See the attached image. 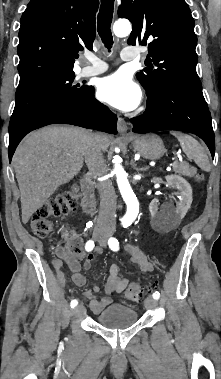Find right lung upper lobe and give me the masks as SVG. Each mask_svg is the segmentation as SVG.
Returning a JSON list of instances; mask_svg holds the SVG:
<instances>
[{"mask_svg":"<svg viewBox=\"0 0 221 379\" xmlns=\"http://www.w3.org/2000/svg\"><path fill=\"white\" fill-rule=\"evenodd\" d=\"M98 5V0H31L20 21V81L73 70L77 53L92 49Z\"/></svg>","mask_w":221,"mask_h":379,"instance_id":"cb5924a9","label":"right lung upper lobe"}]
</instances>
